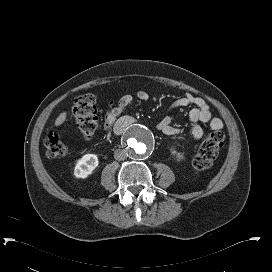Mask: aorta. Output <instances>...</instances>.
I'll list each match as a JSON object with an SVG mask.
<instances>
[{
  "label": "aorta",
  "instance_id": "762f6f07",
  "mask_svg": "<svg viewBox=\"0 0 272 272\" xmlns=\"http://www.w3.org/2000/svg\"><path fill=\"white\" fill-rule=\"evenodd\" d=\"M123 144L131 158L141 159L148 156L153 150L155 139L147 127L133 125L125 132Z\"/></svg>",
  "mask_w": 272,
  "mask_h": 272
}]
</instances>
